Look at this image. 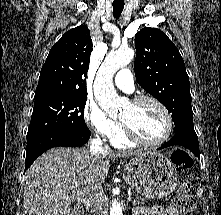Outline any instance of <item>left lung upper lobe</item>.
I'll return each mask as SVG.
<instances>
[{"mask_svg": "<svg viewBox=\"0 0 221 215\" xmlns=\"http://www.w3.org/2000/svg\"><path fill=\"white\" fill-rule=\"evenodd\" d=\"M134 70L139 85L172 114L175 133L194 132L189 77L173 42L159 29L135 35Z\"/></svg>", "mask_w": 221, "mask_h": 215, "instance_id": "obj_1", "label": "left lung upper lobe"}]
</instances>
